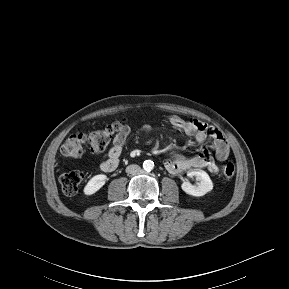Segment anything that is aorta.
<instances>
[{
  "label": "aorta",
  "mask_w": 289,
  "mask_h": 289,
  "mask_svg": "<svg viewBox=\"0 0 289 289\" xmlns=\"http://www.w3.org/2000/svg\"><path fill=\"white\" fill-rule=\"evenodd\" d=\"M143 168H144V170L145 171H151V170H153V168H154V162L153 161H151V160H146V161H144V163H143Z\"/></svg>",
  "instance_id": "aorta-1"
}]
</instances>
